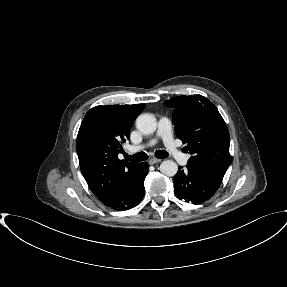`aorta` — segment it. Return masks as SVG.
I'll use <instances>...</instances> for the list:
<instances>
[{
	"instance_id": "obj_1",
	"label": "aorta",
	"mask_w": 287,
	"mask_h": 287,
	"mask_svg": "<svg viewBox=\"0 0 287 287\" xmlns=\"http://www.w3.org/2000/svg\"><path fill=\"white\" fill-rule=\"evenodd\" d=\"M157 122L152 114H140L136 119V128L143 134L155 132ZM160 171L166 176H174L178 171V165L172 160H165L160 164Z\"/></svg>"
}]
</instances>
